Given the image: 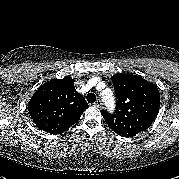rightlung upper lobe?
<instances>
[{
	"instance_id": "1",
	"label": "right lung upper lobe",
	"mask_w": 179,
	"mask_h": 179,
	"mask_svg": "<svg viewBox=\"0 0 179 179\" xmlns=\"http://www.w3.org/2000/svg\"><path fill=\"white\" fill-rule=\"evenodd\" d=\"M86 100L74 88V79H51L33 94L28 111L38 128L62 134L75 124L88 108Z\"/></svg>"
}]
</instances>
